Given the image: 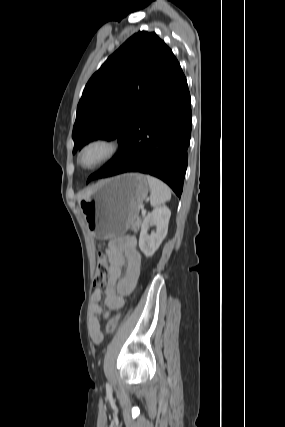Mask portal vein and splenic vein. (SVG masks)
I'll return each mask as SVG.
<instances>
[{
    "label": "portal vein and splenic vein",
    "instance_id": "obj_1",
    "mask_svg": "<svg viewBox=\"0 0 285 427\" xmlns=\"http://www.w3.org/2000/svg\"><path fill=\"white\" fill-rule=\"evenodd\" d=\"M141 213H142V215H145L146 214V210L142 209Z\"/></svg>",
    "mask_w": 285,
    "mask_h": 427
}]
</instances>
